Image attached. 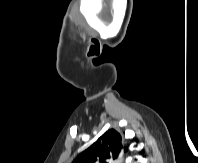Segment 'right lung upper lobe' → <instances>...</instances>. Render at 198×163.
I'll list each match as a JSON object with an SVG mask.
<instances>
[{
	"mask_svg": "<svg viewBox=\"0 0 198 163\" xmlns=\"http://www.w3.org/2000/svg\"><path fill=\"white\" fill-rule=\"evenodd\" d=\"M121 148L120 134L111 129L80 153L72 163H107V160L117 158ZM125 151H127V148H125Z\"/></svg>",
	"mask_w": 198,
	"mask_h": 163,
	"instance_id": "cb5924a9",
	"label": "right lung upper lobe"
}]
</instances>
